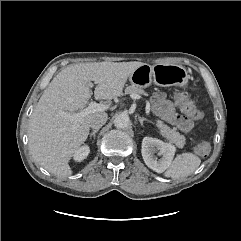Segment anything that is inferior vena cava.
I'll use <instances>...</instances> for the list:
<instances>
[{
    "label": "inferior vena cava",
    "mask_w": 241,
    "mask_h": 241,
    "mask_svg": "<svg viewBox=\"0 0 241 241\" xmlns=\"http://www.w3.org/2000/svg\"><path fill=\"white\" fill-rule=\"evenodd\" d=\"M107 114L106 113H98L95 114L90 121V127L92 129H99L101 128L107 121Z\"/></svg>",
    "instance_id": "602c4592"
}]
</instances>
